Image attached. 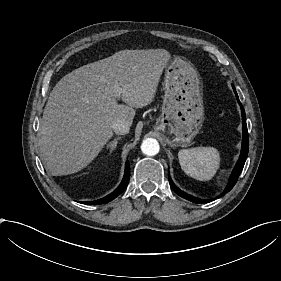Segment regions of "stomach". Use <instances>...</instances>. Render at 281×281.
Returning <instances> with one entry per match:
<instances>
[{"label":"stomach","mask_w":281,"mask_h":281,"mask_svg":"<svg viewBox=\"0 0 281 281\" xmlns=\"http://www.w3.org/2000/svg\"><path fill=\"white\" fill-rule=\"evenodd\" d=\"M162 113L155 129L171 147H186L204 120L203 83L190 60L174 55L164 71Z\"/></svg>","instance_id":"obj_1"}]
</instances>
